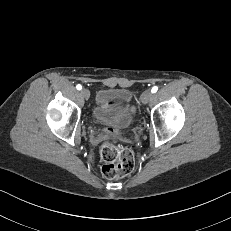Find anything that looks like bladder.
I'll return each instance as SVG.
<instances>
[{"label":"bladder","instance_id":"obj_1","mask_svg":"<svg viewBox=\"0 0 231 231\" xmlns=\"http://www.w3.org/2000/svg\"><path fill=\"white\" fill-rule=\"evenodd\" d=\"M132 94L125 88L102 89L96 95L92 115L96 120L114 122L127 127L133 122L130 106Z\"/></svg>","mask_w":231,"mask_h":231}]
</instances>
